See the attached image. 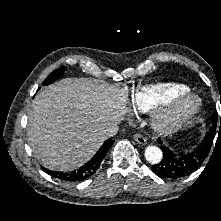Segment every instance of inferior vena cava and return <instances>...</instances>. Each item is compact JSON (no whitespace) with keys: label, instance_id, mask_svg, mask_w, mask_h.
<instances>
[{"label":"inferior vena cava","instance_id":"obj_1","mask_svg":"<svg viewBox=\"0 0 221 221\" xmlns=\"http://www.w3.org/2000/svg\"><path fill=\"white\" fill-rule=\"evenodd\" d=\"M119 131L118 126H110L108 127L104 132H103V136L105 139L113 137L114 135L117 134V132Z\"/></svg>","mask_w":221,"mask_h":221}]
</instances>
